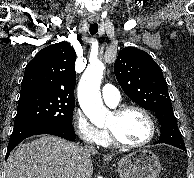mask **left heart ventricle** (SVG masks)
<instances>
[{
  "mask_svg": "<svg viewBox=\"0 0 194 178\" xmlns=\"http://www.w3.org/2000/svg\"><path fill=\"white\" fill-rule=\"evenodd\" d=\"M106 127L113 129L121 141L129 144L144 141L150 133L148 120L136 110L128 111L120 117L112 113Z\"/></svg>",
  "mask_w": 194,
  "mask_h": 178,
  "instance_id": "left-heart-ventricle-1",
  "label": "left heart ventricle"
}]
</instances>
